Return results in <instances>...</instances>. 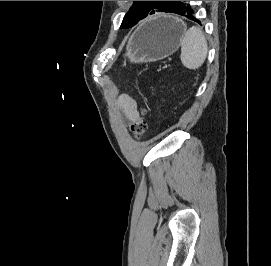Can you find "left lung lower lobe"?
I'll list each match as a JSON object with an SVG mask.
<instances>
[{"instance_id": "left-lung-lower-lobe-1", "label": "left lung lower lobe", "mask_w": 271, "mask_h": 266, "mask_svg": "<svg viewBox=\"0 0 271 266\" xmlns=\"http://www.w3.org/2000/svg\"><path fill=\"white\" fill-rule=\"evenodd\" d=\"M169 13H176L182 16H185L191 20L200 24V21L194 18V9L192 6L187 3V1H177L176 4L168 11ZM154 14V13H153ZM152 15V14H150Z\"/></svg>"}]
</instances>
